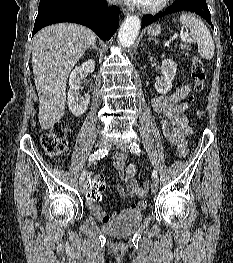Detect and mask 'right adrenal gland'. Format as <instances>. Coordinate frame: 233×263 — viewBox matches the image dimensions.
I'll use <instances>...</instances> for the list:
<instances>
[{
	"instance_id": "right-adrenal-gland-1",
	"label": "right adrenal gland",
	"mask_w": 233,
	"mask_h": 263,
	"mask_svg": "<svg viewBox=\"0 0 233 263\" xmlns=\"http://www.w3.org/2000/svg\"><path fill=\"white\" fill-rule=\"evenodd\" d=\"M89 49H90V50H91V49H95V50L98 51V48H97V46H96V42H94V43L89 47Z\"/></svg>"
}]
</instances>
